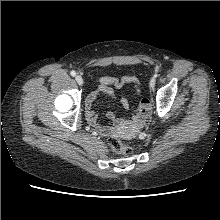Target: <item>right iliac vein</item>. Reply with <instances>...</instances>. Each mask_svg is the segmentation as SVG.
<instances>
[{
    "label": "right iliac vein",
    "mask_w": 220,
    "mask_h": 220,
    "mask_svg": "<svg viewBox=\"0 0 220 220\" xmlns=\"http://www.w3.org/2000/svg\"><path fill=\"white\" fill-rule=\"evenodd\" d=\"M75 80L80 86H82L84 83L83 78L80 75H76Z\"/></svg>",
    "instance_id": "1"
}]
</instances>
